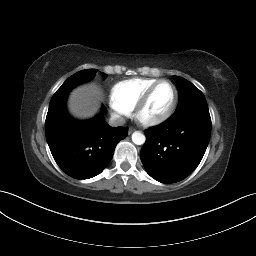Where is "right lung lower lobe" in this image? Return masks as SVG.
<instances>
[{"label": "right lung lower lobe", "mask_w": 256, "mask_h": 256, "mask_svg": "<svg viewBox=\"0 0 256 256\" xmlns=\"http://www.w3.org/2000/svg\"><path fill=\"white\" fill-rule=\"evenodd\" d=\"M65 102L63 97L49 104L45 122L47 143L56 163L67 175L82 180L92 178L107 166L128 129L112 128L101 116L76 121L67 114Z\"/></svg>", "instance_id": "obj_1"}]
</instances>
